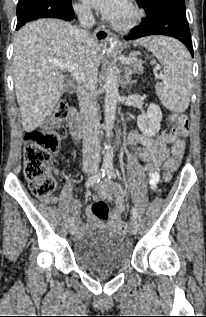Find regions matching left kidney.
Wrapping results in <instances>:
<instances>
[{"instance_id": "left-kidney-1", "label": "left kidney", "mask_w": 206, "mask_h": 317, "mask_svg": "<svg viewBox=\"0 0 206 317\" xmlns=\"http://www.w3.org/2000/svg\"><path fill=\"white\" fill-rule=\"evenodd\" d=\"M162 112L158 105L151 104L147 113H142L137 118V125L146 136H153L160 130Z\"/></svg>"}]
</instances>
